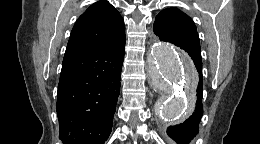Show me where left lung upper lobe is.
Here are the masks:
<instances>
[{
	"mask_svg": "<svg viewBox=\"0 0 260 144\" xmlns=\"http://www.w3.org/2000/svg\"><path fill=\"white\" fill-rule=\"evenodd\" d=\"M154 33L160 40L171 43H188L200 47L199 36L192 19L177 8H166L157 16L153 26ZM195 67L202 77V59L195 62Z\"/></svg>",
	"mask_w": 260,
	"mask_h": 144,
	"instance_id": "1",
	"label": "left lung upper lobe"
}]
</instances>
